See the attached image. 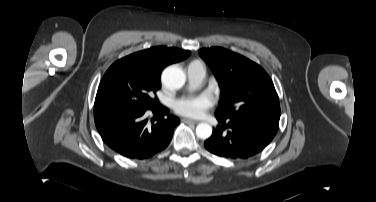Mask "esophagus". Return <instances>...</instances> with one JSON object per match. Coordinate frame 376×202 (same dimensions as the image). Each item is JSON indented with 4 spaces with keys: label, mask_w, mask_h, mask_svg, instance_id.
I'll use <instances>...</instances> for the list:
<instances>
[{
    "label": "esophagus",
    "mask_w": 376,
    "mask_h": 202,
    "mask_svg": "<svg viewBox=\"0 0 376 202\" xmlns=\"http://www.w3.org/2000/svg\"><path fill=\"white\" fill-rule=\"evenodd\" d=\"M182 121L185 122V123H192V124L198 123V121L192 120V119H189V118H183Z\"/></svg>",
    "instance_id": "1"
}]
</instances>
